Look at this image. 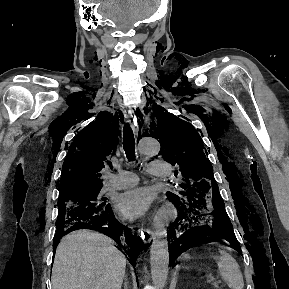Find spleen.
I'll return each instance as SVG.
<instances>
[{"mask_svg": "<svg viewBox=\"0 0 289 289\" xmlns=\"http://www.w3.org/2000/svg\"><path fill=\"white\" fill-rule=\"evenodd\" d=\"M217 266L219 275L230 289H243L244 280L239 264L229 253L220 250Z\"/></svg>", "mask_w": 289, "mask_h": 289, "instance_id": "3e777b00", "label": "spleen"}]
</instances>
